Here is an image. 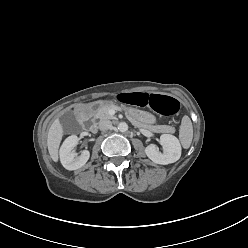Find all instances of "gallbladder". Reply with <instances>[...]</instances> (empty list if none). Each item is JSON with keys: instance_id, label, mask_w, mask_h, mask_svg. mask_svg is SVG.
Listing matches in <instances>:
<instances>
[{"instance_id": "1", "label": "gallbladder", "mask_w": 248, "mask_h": 248, "mask_svg": "<svg viewBox=\"0 0 248 248\" xmlns=\"http://www.w3.org/2000/svg\"><path fill=\"white\" fill-rule=\"evenodd\" d=\"M65 129L67 131H72V130H78L80 128V125L78 122L75 120L74 114L72 112H67L65 114Z\"/></svg>"}]
</instances>
